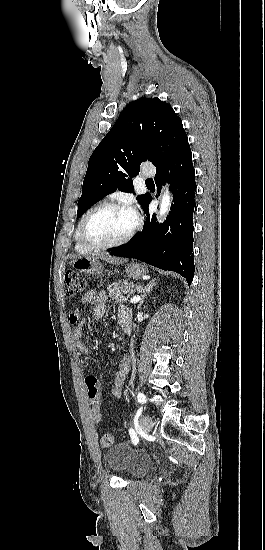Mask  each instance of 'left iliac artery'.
Here are the masks:
<instances>
[{"label":"left iliac artery","mask_w":265,"mask_h":550,"mask_svg":"<svg viewBox=\"0 0 265 550\" xmlns=\"http://www.w3.org/2000/svg\"><path fill=\"white\" fill-rule=\"evenodd\" d=\"M137 399H138V402H140L141 404H144L146 403V396L143 394V393H138L137 395ZM129 434L131 436V439H132V443L134 445H137L138 442H139V439L135 433V431L133 429H130L129 430Z\"/></svg>","instance_id":"left-iliac-artery-1"}]
</instances>
